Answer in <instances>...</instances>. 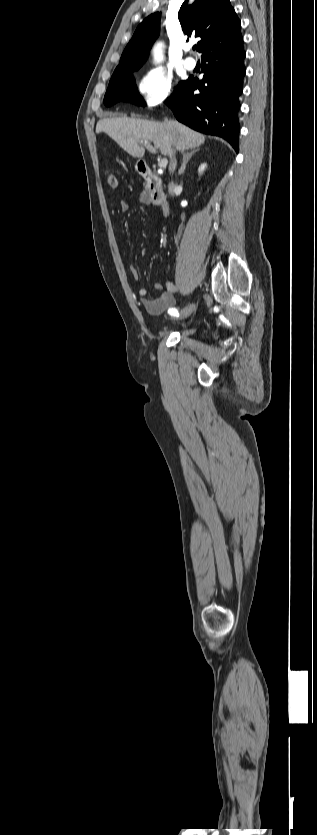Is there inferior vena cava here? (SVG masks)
<instances>
[{"mask_svg": "<svg viewBox=\"0 0 317 835\" xmlns=\"http://www.w3.org/2000/svg\"><path fill=\"white\" fill-rule=\"evenodd\" d=\"M176 165H177V161H176L175 157L170 156L169 171H170V172H174V170H175V168H176ZM174 188H175V185H174V183H173V182H172L171 184H169V187H168V192H169V194L173 195V193H174Z\"/></svg>", "mask_w": 317, "mask_h": 835, "instance_id": "inferior-vena-cava-1", "label": "inferior vena cava"}]
</instances>
